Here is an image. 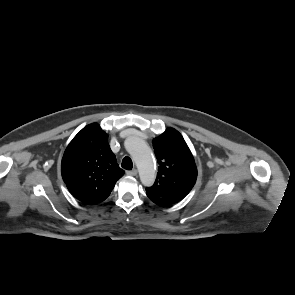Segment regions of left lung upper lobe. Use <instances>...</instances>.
I'll return each mask as SVG.
<instances>
[{
	"label": "left lung upper lobe",
	"instance_id": "5c2ea615",
	"mask_svg": "<svg viewBox=\"0 0 295 295\" xmlns=\"http://www.w3.org/2000/svg\"><path fill=\"white\" fill-rule=\"evenodd\" d=\"M153 148L159 164L156 181L146 192L173 203L180 202L193 188L197 168L193 155L182 135L167 128L153 139Z\"/></svg>",
	"mask_w": 295,
	"mask_h": 295
}]
</instances>
